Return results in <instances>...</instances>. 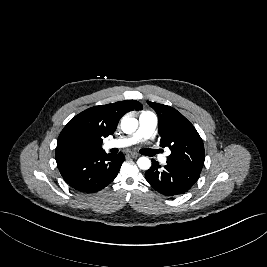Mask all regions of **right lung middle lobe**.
<instances>
[{
	"mask_svg": "<svg viewBox=\"0 0 267 267\" xmlns=\"http://www.w3.org/2000/svg\"><path fill=\"white\" fill-rule=\"evenodd\" d=\"M90 152L89 146L80 138H67L63 140L58 148H56L57 155H74Z\"/></svg>",
	"mask_w": 267,
	"mask_h": 267,
	"instance_id": "dd1d6c3e",
	"label": "right lung middle lobe"
}]
</instances>
